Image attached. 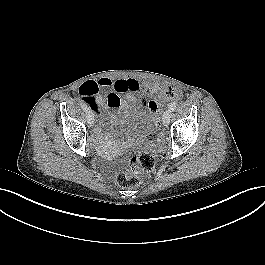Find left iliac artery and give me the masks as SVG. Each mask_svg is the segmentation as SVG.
I'll return each mask as SVG.
<instances>
[{
	"label": "left iliac artery",
	"instance_id": "left-iliac-artery-1",
	"mask_svg": "<svg viewBox=\"0 0 265 265\" xmlns=\"http://www.w3.org/2000/svg\"><path fill=\"white\" fill-rule=\"evenodd\" d=\"M177 107V102H173L169 105V110L170 111H174Z\"/></svg>",
	"mask_w": 265,
	"mask_h": 265
}]
</instances>
